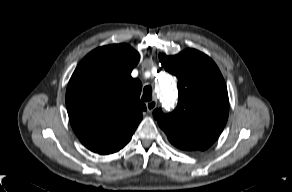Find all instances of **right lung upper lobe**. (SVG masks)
Wrapping results in <instances>:
<instances>
[{
    "mask_svg": "<svg viewBox=\"0 0 292 192\" xmlns=\"http://www.w3.org/2000/svg\"><path fill=\"white\" fill-rule=\"evenodd\" d=\"M140 55L127 44L99 47L75 69L66 90L71 126L89 150L107 154L131 139L142 119L141 82L131 77Z\"/></svg>",
    "mask_w": 292,
    "mask_h": 192,
    "instance_id": "obj_1",
    "label": "right lung upper lobe"
}]
</instances>
